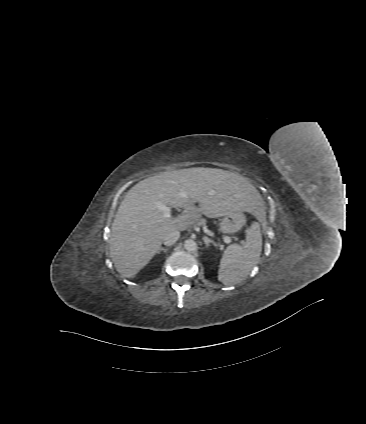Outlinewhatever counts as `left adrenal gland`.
<instances>
[{"label": "left adrenal gland", "mask_w": 366, "mask_h": 424, "mask_svg": "<svg viewBox=\"0 0 366 424\" xmlns=\"http://www.w3.org/2000/svg\"><path fill=\"white\" fill-rule=\"evenodd\" d=\"M203 240L206 245V248H208L210 244H213L214 246H216V243L213 240L209 239L207 236H204Z\"/></svg>", "instance_id": "a2214340"}]
</instances>
